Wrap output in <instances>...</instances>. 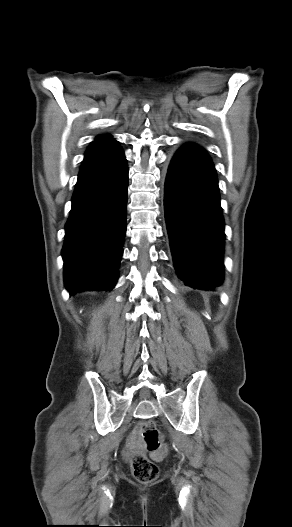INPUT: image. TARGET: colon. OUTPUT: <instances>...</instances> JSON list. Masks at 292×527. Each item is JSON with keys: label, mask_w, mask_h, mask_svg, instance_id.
Returning a JSON list of instances; mask_svg holds the SVG:
<instances>
[{"label": "colon", "mask_w": 292, "mask_h": 527, "mask_svg": "<svg viewBox=\"0 0 292 527\" xmlns=\"http://www.w3.org/2000/svg\"><path fill=\"white\" fill-rule=\"evenodd\" d=\"M139 431L149 451H155L160 447L159 432L153 422L142 423ZM131 467L134 477L141 483L152 482L159 475L158 466L143 454H136L133 457Z\"/></svg>", "instance_id": "5ec220e1"}]
</instances>
